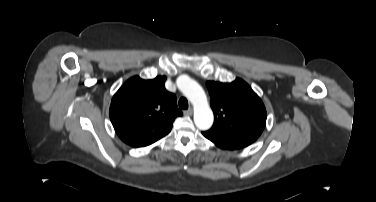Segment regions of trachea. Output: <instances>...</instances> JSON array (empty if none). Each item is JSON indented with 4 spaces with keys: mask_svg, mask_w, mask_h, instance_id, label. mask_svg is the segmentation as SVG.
<instances>
[{
    "mask_svg": "<svg viewBox=\"0 0 376 202\" xmlns=\"http://www.w3.org/2000/svg\"><path fill=\"white\" fill-rule=\"evenodd\" d=\"M179 108L180 109H187L188 108V101L186 98L182 97L179 100Z\"/></svg>",
    "mask_w": 376,
    "mask_h": 202,
    "instance_id": "3493384b",
    "label": "trachea"
}]
</instances>
